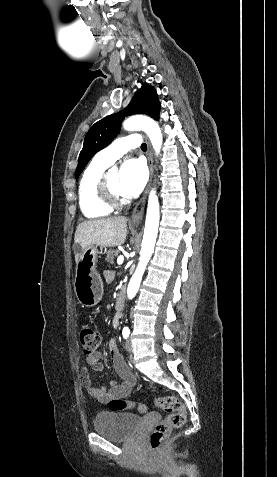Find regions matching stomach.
Returning <instances> with one entry per match:
<instances>
[{"label": "stomach", "instance_id": "1", "mask_svg": "<svg viewBox=\"0 0 277 477\" xmlns=\"http://www.w3.org/2000/svg\"><path fill=\"white\" fill-rule=\"evenodd\" d=\"M97 254V246H89L76 264L74 290L78 302L85 307L97 305L103 296V283L96 271Z\"/></svg>", "mask_w": 277, "mask_h": 477}]
</instances>
